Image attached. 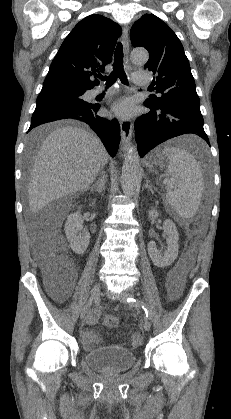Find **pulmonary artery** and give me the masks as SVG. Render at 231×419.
<instances>
[{
    "mask_svg": "<svg viewBox=\"0 0 231 419\" xmlns=\"http://www.w3.org/2000/svg\"><path fill=\"white\" fill-rule=\"evenodd\" d=\"M132 80H133V82L134 83H136V84H138V85H147L148 83H149V78L145 75V74H143V73H138V72H136V73H134L133 75H132ZM115 92V90L114 89H107V90H104L103 88H95V89H93L91 92H90V95L92 96V97H95V96H97V95H99V94H102V93H104V94H112V93H114Z\"/></svg>",
    "mask_w": 231,
    "mask_h": 419,
    "instance_id": "pulmonary-artery-1",
    "label": "pulmonary artery"
}]
</instances>
